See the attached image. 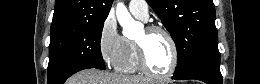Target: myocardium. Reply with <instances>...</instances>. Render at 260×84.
Instances as JSON below:
<instances>
[{"label": "myocardium", "instance_id": "1", "mask_svg": "<svg viewBox=\"0 0 260 84\" xmlns=\"http://www.w3.org/2000/svg\"><path fill=\"white\" fill-rule=\"evenodd\" d=\"M145 31L147 34L160 32L166 36V38L168 39V41L170 43V47H171V64H170V68L165 73L154 72L149 67V65L146 61L144 44L140 41H136L135 47H136L137 58H138L140 70L147 76L154 78V79H168V78L172 77L174 75V73L176 72L178 63H179L178 46H177V42H176L173 34L164 26L158 25V24H153V25L147 26L145 28Z\"/></svg>", "mask_w": 260, "mask_h": 84}]
</instances>
